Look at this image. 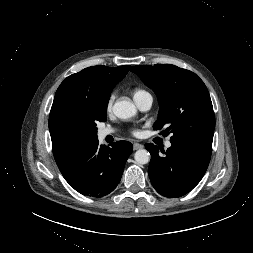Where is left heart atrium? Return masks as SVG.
Here are the masks:
<instances>
[{"instance_id": "1", "label": "left heart atrium", "mask_w": 253, "mask_h": 253, "mask_svg": "<svg viewBox=\"0 0 253 253\" xmlns=\"http://www.w3.org/2000/svg\"><path fill=\"white\" fill-rule=\"evenodd\" d=\"M133 134H134V135H137V134H138V131H136V130L133 131Z\"/></svg>"}]
</instances>
